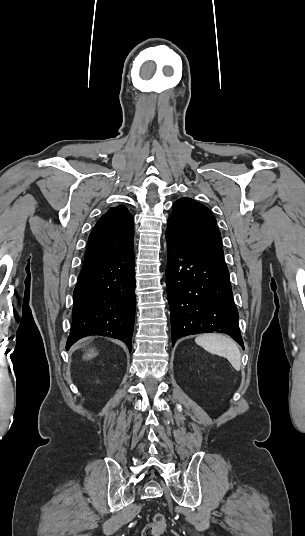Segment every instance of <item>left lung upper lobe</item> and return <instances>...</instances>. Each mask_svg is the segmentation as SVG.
I'll return each instance as SVG.
<instances>
[{"mask_svg": "<svg viewBox=\"0 0 305 536\" xmlns=\"http://www.w3.org/2000/svg\"><path fill=\"white\" fill-rule=\"evenodd\" d=\"M166 237L188 250L224 258L215 217L206 206L191 198L183 197L173 204Z\"/></svg>", "mask_w": 305, "mask_h": 536, "instance_id": "left-lung-upper-lobe-1", "label": "left lung upper lobe"}]
</instances>
